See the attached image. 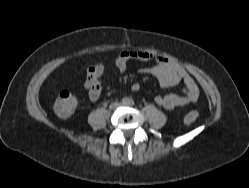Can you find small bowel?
Wrapping results in <instances>:
<instances>
[{"label": "small bowel", "mask_w": 249, "mask_h": 188, "mask_svg": "<svg viewBox=\"0 0 249 188\" xmlns=\"http://www.w3.org/2000/svg\"><path fill=\"white\" fill-rule=\"evenodd\" d=\"M131 60L141 62L153 61L154 63L152 65L142 68L140 71L155 77L163 88L175 86L180 82L183 83V89L180 94L171 93L156 96L155 102L159 106L166 110H174L176 107L186 106L197 101L199 97V87L194 78L178 63L148 51L126 50L115 58L114 64L119 71L123 72ZM105 71L106 66L102 63L90 65L87 68L84 89L91 102H95L101 97V79ZM132 89L137 91L139 89L138 84H134Z\"/></svg>", "instance_id": "small-bowel-1"}]
</instances>
